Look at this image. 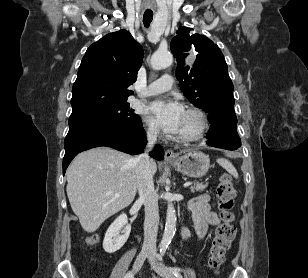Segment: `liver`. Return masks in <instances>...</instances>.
I'll return each mask as SVG.
<instances>
[{"label": "liver", "instance_id": "obj_1", "mask_svg": "<svg viewBox=\"0 0 308 278\" xmlns=\"http://www.w3.org/2000/svg\"><path fill=\"white\" fill-rule=\"evenodd\" d=\"M135 157L108 147L78 154L67 169V195L82 228L92 233L129 206L137 192ZM152 175L157 171L151 162ZM119 196V197H116Z\"/></svg>", "mask_w": 308, "mask_h": 278}]
</instances>
